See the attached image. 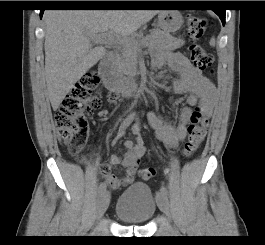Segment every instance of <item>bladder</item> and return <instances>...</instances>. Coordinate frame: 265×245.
<instances>
[{"mask_svg": "<svg viewBox=\"0 0 265 245\" xmlns=\"http://www.w3.org/2000/svg\"><path fill=\"white\" fill-rule=\"evenodd\" d=\"M157 207V199L147 185L133 184L119 196L115 215L123 223L140 225L153 217Z\"/></svg>", "mask_w": 265, "mask_h": 245, "instance_id": "obj_1", "label": "bladder"}]
</instances>
